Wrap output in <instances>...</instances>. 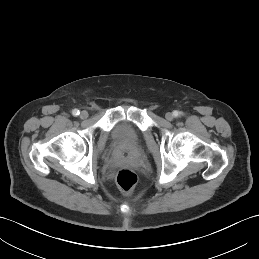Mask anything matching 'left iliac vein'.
<instances>
[{"label": "left iliac vein", "mask_w": 259, "mask_h": 259, "mask_svg": "<svg viewBox=\"0 0 259 259\" xmlns=\"http://www.w3.org/2000/svg\"><path fill=\"white\" fill-rule=\"evenodd\" d=\"M165 118L168 120V121H172L173 118H174V115L171 113V112H167L165 114Z\"/></svg>", "instance_id": "4c4485c4"}]
</instances>
